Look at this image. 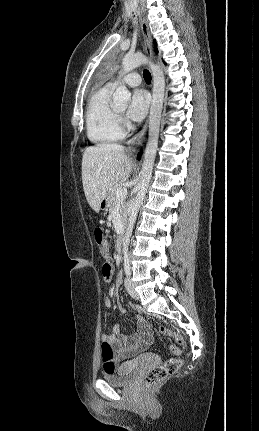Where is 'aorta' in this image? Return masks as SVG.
Returning <instances> with one entry per match:
<instances>
[{
	"label": "aorta",
	"instance_id": "aorta-1",
	"mask_svg": "<svg viewBox=\"0 0 259 431\" xmlns=\"http://www.w3.org/2000/svg\"><path fill=\"white\" fill-rule=\"evenodd\" d=\"M148 64L153 75V99L150 108L149 116V138L145 148L142 169L140 172V180L138 182V191L133 201L132 209L129 216L128 227L125 233V241L123 252L127 254L130 237L132 235L134 223L137 218L138 211L143 203L147 188L149 186L152 169L155 161L156 151L158 147V137L161 121V113L163 108V99L165 93V77L162 69L142 54L125 55L122 61L121 75L126 74L134 68ZM131 100V93L125 85H119L113 94V105L117 108H126Z\"/></svg>",
	"mask_w": 259,
	"mask_h": 431
}]
</instances>
